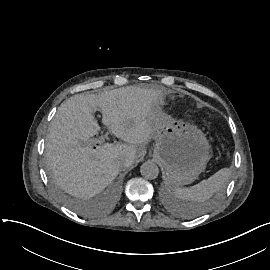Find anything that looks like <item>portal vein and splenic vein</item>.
I'll list each match as a JSON object with an SVG mask.
<instances>
[{"label":"portal vein and splenic vein","mask_w":270,"mask_h":270,"mask_svg":"<svg viewBox=\"0 0 270 270\" xmlns=\"http://www.w3.org/2000/svg\"><path fill=\"white\" fill-rule=\"evenodd\" d=\"M98 147H103V144L105 143V139H104V137H100L99 139H98Z\"/></svg>","instance_id":"obj_1"}]
</instances>
